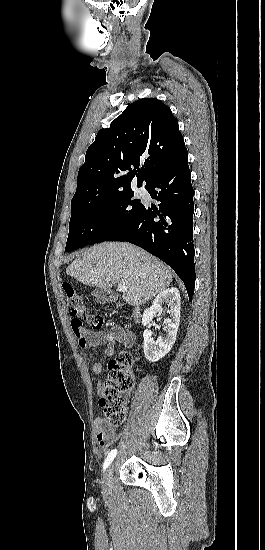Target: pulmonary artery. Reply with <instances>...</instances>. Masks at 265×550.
I'll return each instance as SVG.
<instances>
[{
  "mask_svg": "<svg viewBox=\"0 0 265 550\" xmlns=\"http://www.w3.org/2000/svg\"><path fill=\"white\" fill-rule=\"evenodd\" d=\"M140 192H141V193H145V190L141 188V189H140Z\"/></svg>",
  "mask_w": 265,
  "mask_h": 550,
  "instance_id": "obj_1",
  "label": "pulmonary artery"
}]
</instances>
